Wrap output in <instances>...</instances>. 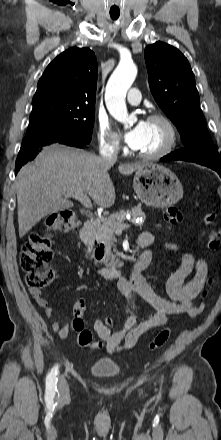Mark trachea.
Wrapping results in <instances>:
<instances>
[{
  "label": "trachea",
  "mask_w": 221,
  "mask_h": 440,
  "mask_svg": "<svg viewBox=\"0 0 221 440\" xmlns=\"http://www.w3.org/2000/svg\"><path fill=\"white\" fill-rule=\"evenodd\" d=\"M112 19H113V20H116L117 18H116V17H113Z\"/></svg>",
  "instance_id": "obj_1"
}]
</instances>
